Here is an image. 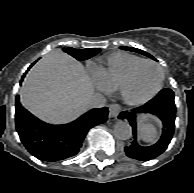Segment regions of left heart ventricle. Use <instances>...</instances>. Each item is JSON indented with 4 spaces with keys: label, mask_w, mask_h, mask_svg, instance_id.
Wrapping results in <instances>:
<instances>
[{
    "label": "left heart ventricle",
    "mask_w": 194,
    "mask_h": 193,
    "mask_svg": "<svg viewBox=\"0 0 194 193\" xmlns=\"http://www.w3.org/2000/svg\"><path fill=\"white\" fill-rule=\"evenodd\" d=\"M159 79V70L151 64H144L134 74L125 89V94L131 99L146 97L157 87Z\"/></svg>",
    "instance_id": "1"
}]
</instances>
